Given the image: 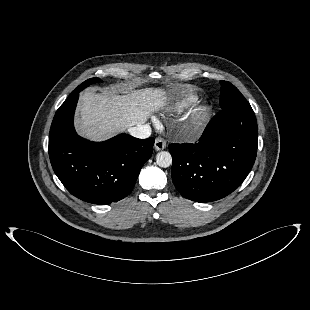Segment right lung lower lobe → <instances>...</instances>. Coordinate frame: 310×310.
I'll return each mask as SVG.
<instances>
[{
    "label": "right lung lower lobe",
    "instance_id": "98d812e1",
    "mask_svg": "<svg viewBox=\"0 0 310 310\" xmlns=\"http://www.w3.org/2000/svg\"><path fill=\"white\" fill-rule=\"evenodd\" d=\"M80 91H73L57 110L49 134V157L55 174L79 199L110 204L126 197L153 152L154 138L120 134L105 142L78 136L73 116Z\"/></svg>",
    "mask_w": 310,
    "mask_h": 310
}]
</instances>
